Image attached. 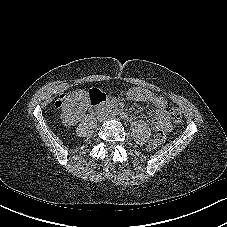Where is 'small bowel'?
<instances>
[{
	"mask_svg": "<svg viewBox=\"0 0 227 227\" xmlns=\"http://www.w3.org/2000/svg\"><path fill=\"white\" fill-rule=\"evenodd\" d=\"M128 97L134 101L148 102L151 104L155 112V115L152 118H150V124L154 130L164 132L170 131L171 122L167 109V101L163 97L158 96L152 93L151 91L143 88L130 89L128 91Z\"/></svg>",
	"mask_w": 227,
	"mask_h": 227,
	"instance_id": "small-bowel-1",
	"label": "small bowel"
}]
</instances>
